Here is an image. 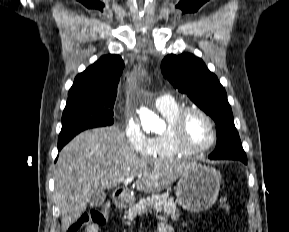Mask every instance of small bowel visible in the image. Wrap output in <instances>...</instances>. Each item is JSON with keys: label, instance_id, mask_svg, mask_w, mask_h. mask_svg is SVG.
Masks as SVG:
<instances>
[{"label": "small bowel", "instance_id": "1", "mask_svg": "<svg viewBox=\"0 0 289 232\" xmlns=\"http://www.w3.org/2000/svg\"><path fill=\"white\" fill-rule=\"evenodd\" d=\"M85 232H100V227L97 225H88L85 228ZM156 232H174L172 227L165 223H159L156 228Z\"/></svg>", "mask_w": 289, "mask_h": 232}]
</instances>
